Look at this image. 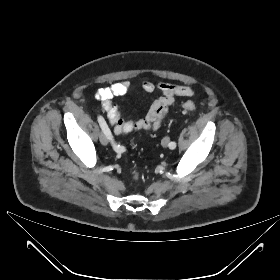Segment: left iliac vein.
<instances>
[{
  "mask_svg": "<svg viewBox=\"0 0 280 280\" xmlns=\"http://www.w3.org/2000/svg\"><path fill=\"white\" fill-rule=\"evenodd\" d=\"M169 142H170V138L168 136L164 137L162 139V146L167 147L169 145Z\"/></svg>",
  "mask_w": 280,
  "mask_h": 280,
  "instance_id": "1",
  "label": "left iliac vein"
}]
</instances>
